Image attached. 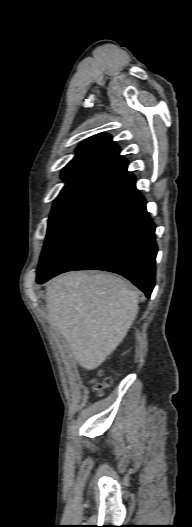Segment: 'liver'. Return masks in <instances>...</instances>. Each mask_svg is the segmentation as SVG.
<instances>
[{"instance_id": "6515ba94", "label": "liver", "mask_w": 192, "mask_h": 527, "mask_svg": "<svg viewBox=\"0 0 192 527\" xmlns=\"http://www.w3.org/2000/svg\"><path fill=\"white\" fill-rule=\"evenodd\" d=\"M48 322L81 367L93 370L126 336L138 314V293L109 273L72 272L46 288Z\"/></svg>"}]
</instances>
